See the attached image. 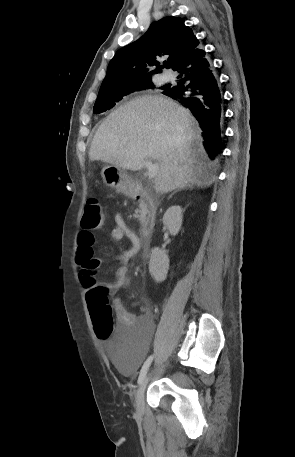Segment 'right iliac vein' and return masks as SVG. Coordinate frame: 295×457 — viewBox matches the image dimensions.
Returning a JSON list of instances; mask_svg holds the SVG:
<instances>
[{
  "label": "right iliac vein",
  "mask_w": 295,
  "mask_h": 457,
  "mask_svg": "<svg viewBox=\"0 0 295 457\" xmlns=\"http://www.w3.org/2000/svg\"><path fill=\"white\" fill-rule=\"evenodd\" d=\"M151 377V373H149L143 382L140 384L137 393H136V398H135V407L137 412L142 413L144 411V396H145V390L147 387V384L149 382V379Z\"/></svg>",
  "instance_id": "1"
}]
</instances>
